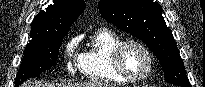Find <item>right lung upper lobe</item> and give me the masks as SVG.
Listing matches in <instances>:
<instances>
[{
	"mask_svg": "<svg viewBox=\"0 0 205 87\" xmlns=\"http://www.w3.org/2000/svg\"><path fill=\"white\" fill-rule=\"evenodd\" d=\"M83 0H54L32 21L31 38L41 39L66 35L72 23L84 11Z\"/></svg>",
	"mask_w": 205,
	"mask_h": 87,
	"instance_id": "1",
	"label": "right lung upper lobe"
}]
</instances>
